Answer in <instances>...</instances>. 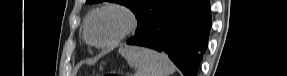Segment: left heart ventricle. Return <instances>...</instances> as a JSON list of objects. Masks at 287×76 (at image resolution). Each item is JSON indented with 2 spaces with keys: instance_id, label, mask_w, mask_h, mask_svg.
Here are the masks:
<instances>
[{
  "instance_id": "obj_1",
  "label": "left heart ventricle",
  "mask_w": 287,
  "mask_h": 76,
  "mask_svg": "<svg viewBox=\"0 0 287 76\" xmlns=\"http://www.w3.org/2000/svg\"><path fill=\"white\" fill-rule=\"evenodd\" d=\"M124 17L114 11L97 15L90 24V36L94 41L106 42L113 38L123 27Z\"/></svg>"
}]
</instances>
